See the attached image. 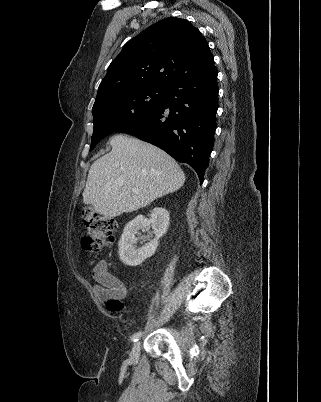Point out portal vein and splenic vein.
<instances>
[{"instance_id": "18ae733b", "label": "portal vein and splenic vein", "mask_w": 321, "mask_h": 402, "mask_svg": "<svg viewBox=\"0 0 321 402\" xmlns=\"http://www.w3.org/2000/svg\"><path fill=\"white\" fill-rule=\"evenodd\" d=\"M116 183L118 184V185H123V183H124V181L122 180V179H118L117 181H116ZM133 191H137L136 189H133Z\"/></svg>"}]
</instances>
